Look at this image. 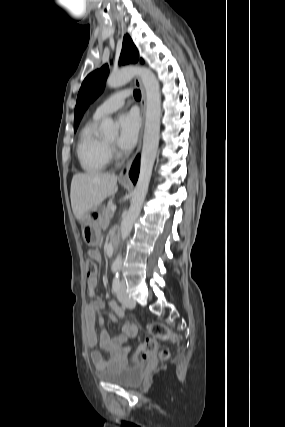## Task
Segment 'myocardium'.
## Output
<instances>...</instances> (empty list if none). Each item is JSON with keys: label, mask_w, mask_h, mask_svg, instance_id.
<instances>
[{"label": "myocardium", "mask_w": 285, "mask_h": 427, "mask_svg": "<svg viewBox=\"0 0 285 427\" xmlns=\"http://www.w3.org/2000/svg\"><path fill=\"white\" fill-rule=\"evenodd\" d=\"M106 144H107V146H108L109 150H110L111 148H113V143H110V142L106 141Z\"/></svg>", "instance_id": "f54148a6"}]
</instances>
